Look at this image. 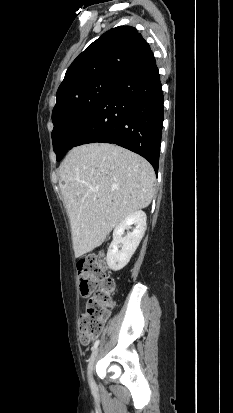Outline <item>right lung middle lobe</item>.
Segmentation results:
<instances>
[{"mask_svg":"<svg viewBox=\"0 0 233 413\" xmlns=\"http://www.w3.org/2000/svg\"><path fill=\"white\" fill-rule=\"evenodd\" d=\"M115 80L116 77L97 78L57 99L52 112V141L57 161L70 149Z\"/></svg>","mask_w":233,"mask_h":413,"instance_id":"right-lung-middle-lobe-1","label":"right lung middle lobe"}]
</instances>
